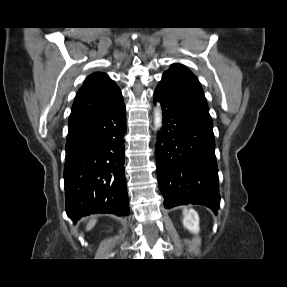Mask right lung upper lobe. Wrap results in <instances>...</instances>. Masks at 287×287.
Here are the masks:
<instances>
[{
    "label": "right lung upper lobe",
    "instance_id": "obj_1",
    "mask_svg": "<svg viewBox=\"0 0 287 287\" xmlns=\"http://www.w3.org/2000/svg\"><path fill=\"white\" fill-rule=\"evenodd\" d=\"M122 100L119 87L103 72L89 75L78 91L69 120L95 115Z\"/></svg>",
    "mask_w": 287,
    "mask_h": 287
}]
</instances>
